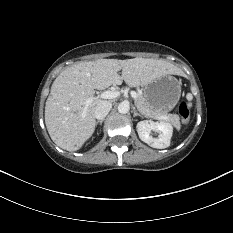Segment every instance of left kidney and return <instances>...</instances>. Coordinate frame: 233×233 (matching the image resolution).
<instances>
[{
  "label": "left kidney",
  "instance_id": "left-kidney-1",
  "mask_svg": "<svg viewBox=\"0 0 233 233\" xmlns=\"http://www.w3.org/2000/svg\"><path fill=\"white\" fill-rule=\"evenodd\" d=\"M136 128L139 138L149 146L157 149H164L170 146L173 127L169 123L144 120L138 122ZM151 131L160 132L157 139L150 135Z\"/></svg>",
  "mask_w": 233,
  "mask_h": 233
}]
</instances>
